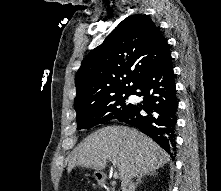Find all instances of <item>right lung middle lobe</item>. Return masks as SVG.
Instances as JSON below:
<instances>
[{
  "label": "right lung middle lobe",
  "mask_w": 221,
  "mask_h": 191,
  "mask_svg": "<svg viewBox=\"0 0 221 191\" xmlns=\"http://www.w3.org/2000/svg\"><path fill=\"white\" fill-rule=\"evenodd\" d=\"M132 93L133 90L127 91L78 112L76 116L77 129H90L112 119L121 120L132 108L133 104L127 102L128 96Z\"/></svg>",
  "instance_id": "obj_1"
}]
</instances>
